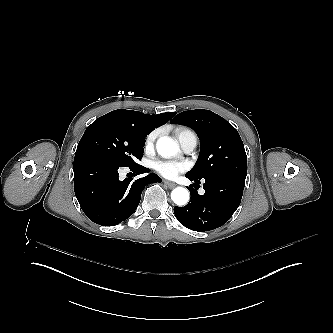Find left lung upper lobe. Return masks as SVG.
<instances>
[{
  "instance_id": "1",
  "label": "left lung upper lobe",
  "mask_w": 333,
  "mask_h": 333,
  "mask_svg": "<svg viewBox=\"0 0 333 333\" xmlns=\"http://www.w3.org/2000/svg\"><path fill=\"white\" fill-rule=\"evenodd\" d=\"M191 127L198 135L201 150L195 166L186 175L209 181L214 176L236 172L247 174V155L237 130L209 110L184 111L171 121Z\"/></svg>"
}]
</instances>
